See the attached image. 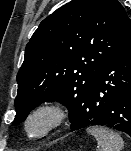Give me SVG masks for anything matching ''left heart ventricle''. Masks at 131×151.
I'll return each mask as SVG.
<instances>
[{
    "mask_svg": "<svg viewBox=\"0 0 131 151\" xmlns=\"http://www.w3.org/2000/svg\"><path fill=\"white\" fill-rule=\"evenodd\" d=\"M47 124L45 117H37L30 124V130L32 133H39Z\"/></svg>",
    "mask_w": 131,
    "mask_h": 151,
    "instance_id": "left-heart-ventricle-1",
    "label": "left heart ventricle"
}]
</instances>
